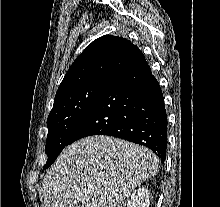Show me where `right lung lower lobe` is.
I'll return each mask as SVG.
<instances>
[{"mask_svg": "<svg viewBox=\"0 0 220 207\" xmlns=\"http://www.w3.org/2000/svg\"><path fill=\"white\" fill-rule=\"evenodd\" d=\"M90 135H109L146 146L165 161L164 99L145 58L107 79L93 107L71 135L69 144Z\"/></svg>", "mask_w": 220, "mask_h": 207, "instance_id": "1", "label": "right lung lower lobe"}]
</instances>
